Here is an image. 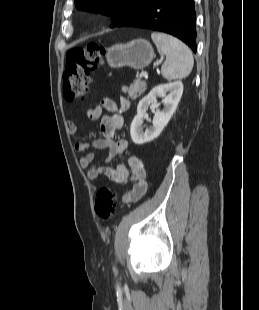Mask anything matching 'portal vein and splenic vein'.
Returning <instances> with one entry per match:
<instances>
[{
  "label": "portal vein and splenic vein",
  "mask_w": 259,
  "mask_h": 310,
  "mask_svg": "<svg viewBox=\"0 0 259 310\" xmlns=\"http://www.w3.org/2000/svg\"><path fill=\"white\" fill-rule=\"evenodd\" d=\"M148 77V73L146 71H143L140 73L139 78H146Z\"/></svg>",
  "instance_id": "18ae733b"
}]
</instances>
